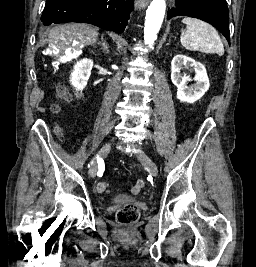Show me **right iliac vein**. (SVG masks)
Masks as SVG:
<instances>
[{
	"label": "right iliac vein",
	"instance_id": "right-iliac-vein-1",
	"mask_svg": "<svg viewBox=\"0 0 256 267\" xmlns=\"http://www.w3.org/2000/svg\"><path fill=\"white\" fill-rule=\"evenodd\" d=\"M111 149V143L108 142V143H105L100 151H99V155L97 156V161H94L93 164L91 165L90 167V170H89V175L90 177H95L96 176V173H97V170H98V159H102V157H104Z\"/></svg>",
	"mask_w": 256,
	"mask_h": 267
}]
</instances>
